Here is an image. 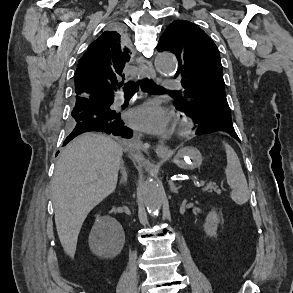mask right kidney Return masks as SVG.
<instances>
[{
    "instance_id": "obj_1",
    "label": "right kidney",
    "mask_w": 293,
    "mask_h": 293,
    "mask_svg": "<svg viewBox=\"0 0 293 293\" xmlns=\"http://www.w3.org/2000/svg\"><path fill=\"white\" fill-rule=\"evenodd\" d=\"M102 221V219L97 217V226L101 227L103 230L106 231V237L102 241V246L103 248L112 251L114 255H117L118 253H120L125 242L124 232L119 223L115 219L108 217L105 219V222H114L118 228L117 233L114 231L112 227L107 225H101L100 223Z\"/></svg>"
}]
</instances>
